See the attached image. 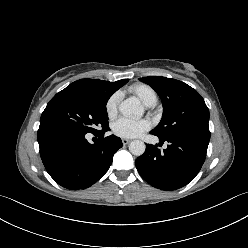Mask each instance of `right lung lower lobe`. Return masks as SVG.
I'll use <instances>...</instances> for the list:
<instances>
[{
  "label": "right lung lower lobe",
  "mask_w": 248,
  "mask_h": 248,
  "mask_svg": "<svg viewBox=\"0 0 248 248\" xmlns=\"http://www.w3.org/2000/svg\"><path fill=\"white\" fill-rule=\"evenodd\" d=\"M95 135L99 136L98 141L90 144L85 133L58 126L39 127L37 140L42 162L59 185L71 190L85 189L107 172L113 155L123 144L114 135Z\"/></svg>",
  "instance_id": "98d812e1"
}]
</instances>
